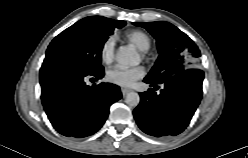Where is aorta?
Segmentation results:
<instances>
[{
  "instance_id": "1",
  "label": "aorta",
  "mask_w": 248,
  "mask_h": 158,
  "mask_svg": "<svg viewBox=\"0 0 248 158\" xmlns=\"http://www.w3.org/2000/svg\"><path fill=\"white\" fill-rule=\"evenodd\" d=\"M116 60L119 64L123 66H135L139 64V55L133 49L129 47H120L117 55ZM127 105L131 107H136L140 102V96L136 92H129L126 95L125 99Z\"/></svg>"
}]
</instances>
